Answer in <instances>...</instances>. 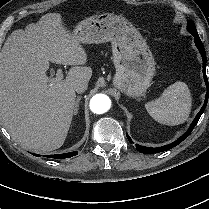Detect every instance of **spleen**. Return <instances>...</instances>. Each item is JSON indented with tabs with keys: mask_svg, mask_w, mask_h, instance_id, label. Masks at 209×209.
<instances>
[{
	"mask_svg": "<svg viewBox=\"0 0 209 209\" xmlns=\"http://www.w3.org/2000/svg\"><path fill=\"white\" fill-rule=\"evenodd\" d=\"M192 97L185 82L167 87L160 98L145 104L150 116L161 124L174 126L184 123L191 112Z\"/></svg>",
	"mask_w": 209,
	"mask_h": 209,
	"instance_id": "spleen-1",
	"label": "spleen"
}]
</instances>
